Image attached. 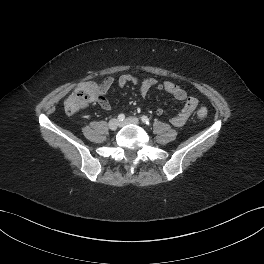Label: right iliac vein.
Wrapping results in <instances>:
<instances>
[{
    "mask_svg": "<svg viewBox=\"0 0 264 264\" xmlns=\"http://www.w3.org/2000/svg\"><path fill=\"white\" fill-rule=\"evenodd\" d=\"M119 126V121L117 119H111L108 123V127L111 130H115L117 129V127Z\"/></svg>",
    "mask_w": 264,
    "mask_h": 264,
    "instance_id": "1",
    "label": "right iliac vein"
}]
</instances>
